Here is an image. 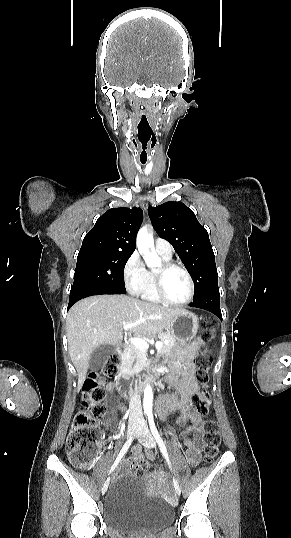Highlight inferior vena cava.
<instances>
[{
	"mask_svg": "<svg viewBox=\"0 0 291 538\" xmlns=\"http://www.w3.org/2000/svg\"><path fill=\"white\" fill-rule=\"evenodd\" d=\"M142 416L141 398L136 392L129 403V421L138 424Z\"/></svg>",
	"mask_w": 291,
	"mask_h": 538,
	"instance_id": "602c4592",
	"label": "inferior vena cava"
}]
</instances>
